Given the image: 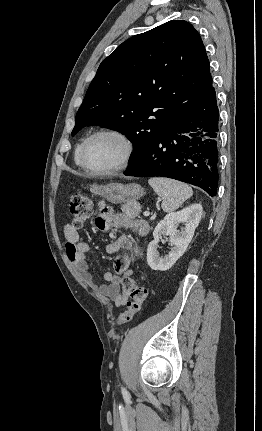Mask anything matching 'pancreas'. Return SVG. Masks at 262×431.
I'll return each instance as SVG.
<instances>
[{
	"label": "pancreas",
	"mask_w": 262,
	"mask_h": 431,
	"mask_svg": "<svg viewBox=\"0 0 262 431\" xmlns=\"http://www.w3.org/2000/svg\"><path fill=\"white\" fill-rule=\"evenodd\" d=\"M140 206H130L128 204H124L121 207L122 212H124L125 214H127L129 217L131 218H135L139 215L140 213Z\"/></svg>",
	"instance_id": "1"
}]
</instances>
